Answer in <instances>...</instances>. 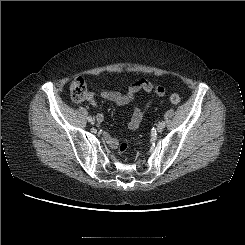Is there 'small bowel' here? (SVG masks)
I'll use <instances>...</instances> for the list:
<instances>
[{"label":"small bowel","mask_w":245,"mask_h":245,"mask_svg":"<svg viewBox=\"0 0 245 245\" xmlns=\"http://www.w3.org/2000/svg\"><path fill=\"white\" fill-rule=\"evenodd\" d=\"M141 90L146 93H152L155 97H162L165 93L164 88L161 86H154L152 83L146 80H138L128 88L126 94L112 90H103L100 95L107 101L113 102L119 106H124L130 104L134 100L136 94ZM87 99L92 105H96L93 94H89ZM152 102V100H149L143 107H135L133 109L128 125L130 129L135 130L140 126L145 114L151 107ZM102 119L103 115L98 114L97 120L102 121ZM104 139L110 147H116L118 145V141L107 133H104Z\"/></svg>","instance_id":"1"}]
</instances>
